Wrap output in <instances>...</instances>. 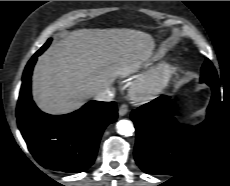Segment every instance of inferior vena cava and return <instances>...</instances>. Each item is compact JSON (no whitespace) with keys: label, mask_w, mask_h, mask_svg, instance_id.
<instances>
[{"label":"inferior vena cava","mask_w":230,"mask_h":186,"mask_svg":"<svg viewBox=\"0 0 230 186\" xmlns=\"http://www.w3.org/2000/svg\"><path fill=\"white\" fill-rule=\"evenodd\" d=\"M113 97H114V89L113 88H106V89L98 92L94 96V99L97 101L109 102V101H112Z\"/></svg>","instance_id":"inferior-vena-cava-1"}]
</instances>
